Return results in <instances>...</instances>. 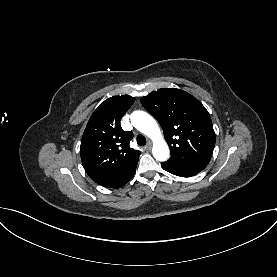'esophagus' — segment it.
<instances>
[{
	"instance_id": "esophagus-1",
	"label": "esophagus",
	"mask_w": 277,
	"mask_h": 277,
	"mask_svg": "<svg viewBox=\"0 0 277 277\" xmlns=\"http://www.w3.org/2000/svg\"><path fill=\"white\" fill-rule=\"evenodd\" d=\"M145 148H146L147 150H151V148H152V143H151V142H148Z\"/></svg>"
}]
</instances>
